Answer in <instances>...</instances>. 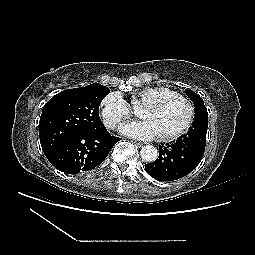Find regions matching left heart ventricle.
Segmentation results:
<instances>
[{"label":"left heart ventricle","instance_id":"left-heart-ventricle-1","mask_svg":"<svg viewBox=\"0 0 255 255\" xmlns=\"http://www.w3.org/2000/svg\"><path fill=\"white\" fill-rule=\"evenodd\" d=\"M139 117L154 121L161 136L179 129L185 123L187 109L182 103L171 101L160 107L144 106Z\"/></svg>","mask_w":255,"mask_h":255}]
</instances>
